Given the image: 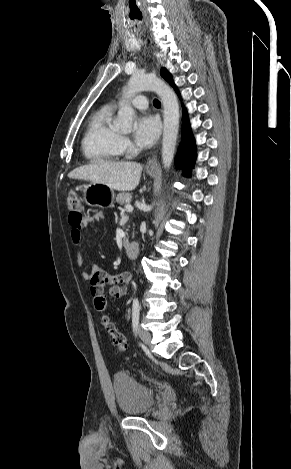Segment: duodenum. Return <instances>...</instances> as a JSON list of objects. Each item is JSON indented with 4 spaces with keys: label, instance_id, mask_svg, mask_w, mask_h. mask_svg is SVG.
Returning <instances> with one entry per match:
<instances>
[{
    "label": "duodenum",
    "instance_id": "obj_1",
    "mask_svg": "<svg viewBox=\"0 0 291 469\" xmlns=\"http://www.w3.org/2000/svg\"><path fill=\"white\" fill-rule=\"evenodd\" d=\"M126 256L135 259L139 255V244L137 242H129L125 245Z\"/></svg>",
    "mask_w": 291,
    "mask_h": 469
}]
</instances>
